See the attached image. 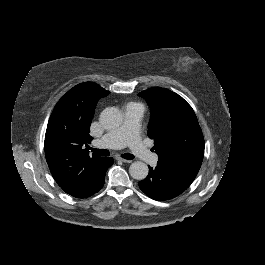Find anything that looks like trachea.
Instances as JSON below:
<instances>
[{"instance_id":"3493384b","label":"trachea","mask_w":265,"mask_h":265,"mask_svg":"<svg viewBox=\"0 0 265 265\" xmlns=\"http://www.w3.org/2000/svg\"><path fill=\"white\" fill-rule=\"evenodd\" d=\"M91 152L98 156H109L110 152L106 149H96V148H90ZM122 158L127 159V160H132L134 158L133 154L130 153H125L121 155Z\"/></svg>"}]
</instances>
